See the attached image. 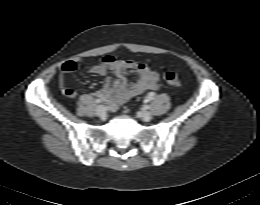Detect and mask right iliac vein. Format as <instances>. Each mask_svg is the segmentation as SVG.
<instances>
[{
	"instance_id": "right-iliac-vein-1",
	"label": "right iliac vein",
	"mask_w": 260,
	"mask_h": 205,
	"mask_svg": "<svg viewBox=\"0 0 260 205\" xmlns=\"http://www.w3.org/2000/svg\"><path fill=\"white\" fill-rule=\"evenodd\" d=\"M96 115L99 116V117H105L106 115V110L104 108V106L102 105H99L97 108H96Z\"/></svg>"
}]
</instances>
